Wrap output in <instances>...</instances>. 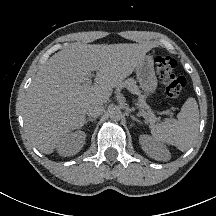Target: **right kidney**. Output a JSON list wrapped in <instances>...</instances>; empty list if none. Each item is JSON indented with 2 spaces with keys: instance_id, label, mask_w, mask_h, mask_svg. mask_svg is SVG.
I'll use <instances>...</instances> for the list:
<instances>
[{
  "instance_id": "right-kidney-1",
  "label": "right kidney",
  "mask_w": 216,
  "mask_h": 216,
  "mask_svg": "<svg viewBox=\"0 0 216 216\" xmlns=\"http://www.w3.org/2000/svg\"><path fill=\"white\" fill-rule=\"evenodd\" d=\"M85 133L82 131L64 135L57 148L61 156H72L78 153L85 143Z\"/></svg>"
}]
</instances>
